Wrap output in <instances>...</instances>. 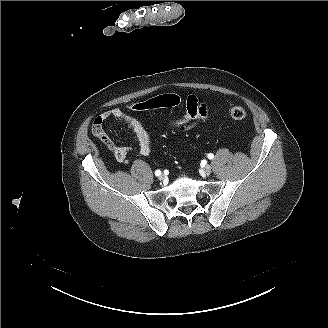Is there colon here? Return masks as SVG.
Returning a JSON list of instances; mask_svg holds the SVG:
<instances>
[{"mask_svg": "<svg viewBox=\"0 0 328 328\" xmlns=\"http://www.w3.org/2000/svg\"><path fill=\"white\" fill-rule=\"evenodd\" d=\"M180 104V98L176 94H163L159 95L141 102L134 103L131 105L130 109L135 112H144L151 111L160 108L166 107H175ZM230 117L233 120H243L247 116V112L243 107L233 106L230 109ZM92 133L96 138H98L103 144L110 147L111 141L106 135L103 126L102 120L97 117L92 125Z\"/></svg>", "mask_w": 328, "mask_h": 328, "instance_id": "5ec220e1", "label": "colon"}]
</instances>
